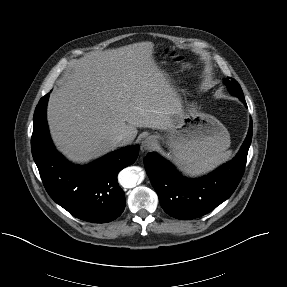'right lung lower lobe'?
I'll list each match as a JSON object with an SVG mask.
<instances>
[{
	"instance_id": "obj_1",
	"label": "right lung lower lobe",
	"mask_w": 287,
	"mask_h": 287,
	"mask_svg": "<svg viewBox=\"0 0 287 287\" xmlns=\"http://www.w3.org/2000/svg\"><path fill=\"white\" fill-rule=\"evenodd\" d=\"M49 93L35 109L31 149L50 197L73 216L93 223L115 220L125 208L124 191L117 182L119 171L135 162L137 145L114 151L95 162L76 166L55 149L48 131L46 107Z\"/></svg>"
}]
</instances>
